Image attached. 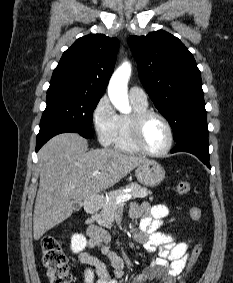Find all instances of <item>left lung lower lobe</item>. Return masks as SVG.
Wrapping results in <instances>:
<instances>
[{"instance_id": "0a47b994", "label": "left lung lower lobe", "mask_w": 233, "mask_h": 283, "mask_svg": "<svg viewBox=\"0 0 233 283\" xmlns=\"http://www.w3.org/2000/svg\"><path fill=\"white\" fill-rule=\"evenodd\" d=\"M209 142L208 134H194L176 143L171 153L185 151L197 156L207 167L209 164Z\"/></svg>"}]
</instances>
